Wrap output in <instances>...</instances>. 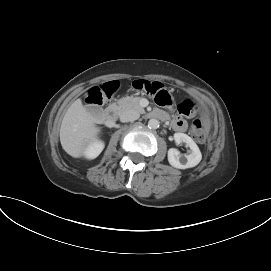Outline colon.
<instances>
[{"mask_svg":"<svg viewBox=\"0 0 271 271\" xmlns=\"http://www.w3.org/2000/svg\"><path fill=\"white\" fill-rule=\"evenodd\" d=\"M129 86L136 90L154 97L157 104L168 106L172 103V98L164 86L157 81L147 79H134ZM117 81L104 83L99 87L92 88L87 97L86 102L94 109L99 108L108 98H110L118 89ZM195 104L190 99H185L178 105V111L181 115L189 116L195 111ZM192 135L198 142H204L206 139V127L202 119H195L192 123Z\"/></svg>","mask_w":271,"mask_h":271,"instance_id":"colon-1","label":"colon"}]
</instances>
